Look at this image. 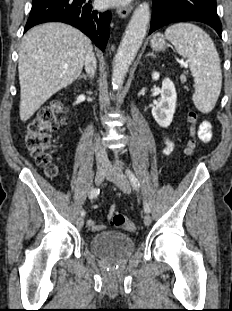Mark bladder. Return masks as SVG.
<instances>
[{
	"mask_svg": "<svg viewBox=\"0 0 232 311\" xmlns=\"http://www.w3.org/2000/svg\"><path fill=\"white\" fill-rule=\"evenodd\" d=\"M93 253L109 262L120 261L129 256L135 248L133 239L121 232L103 231L90 239Z\"/></svg>",
	"mask_w": 232,
	"mask_h": 311,
	"instance_id": "31cf9c89",
	"label": "bladder"
}]
</instances>
